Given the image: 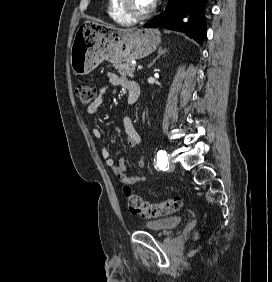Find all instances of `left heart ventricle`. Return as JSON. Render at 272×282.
<instances>
[{
	"instance_id": "obj_1",
	"label": "left heart ventricle",
	"mask_w": 272,
	"mask_h": 282,
	"mask_svg": "<svg viewBox=\"0 0 272 282\" xmlns=\"http://www.w3.org/2000/svg\"><path fill=\"white\" fill-rule=\"evenodd\" d=\"M131 2L137 12H145L153 5L152 0H131Z\"/></svg>"
}]
</instances>
